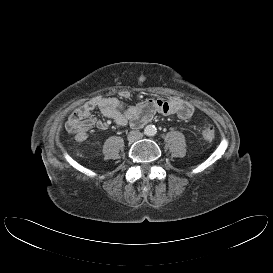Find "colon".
I'll return each instance as SVG.
<instances>
[{
    "instance_id": "5ec220e1",
    "label": "colon",
    "mask_w": 273,
    "mask_h": 273,
    "mask_svg": "<svg viewBox=\"0 0 273 273\" xmlns=\"http://www.w3.org/2000/svg\"><path fill=\"white\" fill-rule=\"evenodd\" d=\"M202 135L207 140H213L215 138V129L211 124H205L202 129Z\"/></svg>"
}]
</instances>
